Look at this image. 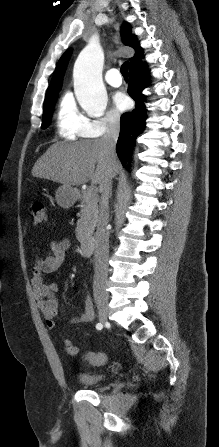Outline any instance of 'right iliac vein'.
I'll use <instances>...</instances> for the list:
<instances>
[{"label":"right iliac vein","instance_id":"obj_1","mask_svg":"<svg viewBox=\"0 0 219 447\" xmlns=\"http://www.w3.org/2000/svg\"><path fill=\"white\" fill-rule=\"evenodd\" d=\"M108 310L105 306H100L98 311V318L101 323H105L107 321Z\"/></svg>","mask_w":219,"mask_h":447}]
</instances>
